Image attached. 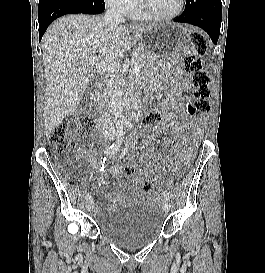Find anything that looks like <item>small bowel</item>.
Here are the masks:
<instances>
[{
	"mask_svg": "<svg viewBox=\"0 0 265 273\" xmlns=\"http://www.w3.org/2000/svg\"><path fill=\"white\" fill-rule=\"evenodd\" d=\"M180 79L185 82L187 80V77L185 75H181ZM185 87L186 88L189 87L188 83L185 84ZM174 101H175V98L172 97L171 99L167 100L164 103V105L162 106V109L164 111L161 112V122L157 126L154 127L155 130H160L161 128H163L165 126L166 122L170 118V114L167 112V110L172 109L174 107ZM150 112H154L158 115V113L155 111H150ZM78 155L82 158L87 159L90 162V164L92 165V167H94L95 169L101 168V162L98 159H96L95 157L88 154L85 150H78ZM109 173L111 176H118L121 173V167L118 164H113V165H111V167L109 169ZM100 182H101V184H106V182H107L106 178L103 177ZM142 182H143V175L142 174H135L131 178V184L133 186V191H134V200H142L145 197V195L141 191ZM131 200H132V198H127V197H123V196L117 198V201L120 204H126ZM109 209L110 210L114 209V205L111 206ZM96 210L98 211V207L96 208Z\"/></svg>",
	"mask_w": 265,
	"mask_h": 273,
	"instance_id": "small-bowel-1",
	"label": "small bowel"
}]
</instances>
